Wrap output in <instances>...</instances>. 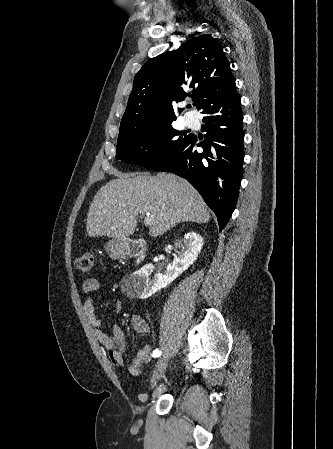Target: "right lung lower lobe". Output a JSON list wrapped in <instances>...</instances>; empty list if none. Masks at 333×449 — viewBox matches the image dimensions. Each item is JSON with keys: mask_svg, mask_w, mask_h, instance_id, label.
Instances as JSON below:
<instances>
[{"mask_svg": "<svg viewBox=\"0 0 333 449\" xmlns=\"http://www.w3.org/2000/svg\"><path fill=\"white\" fill-rule=\"evenodd\" d=\"M205 140L189 139L156 171L173 172L188 180L217 215L220 231L229 221L242 178L243 115L237 92L222 97L202 111ZM202 147L203 152L196 148Z\"/></svg>", "mask_w": 333, "mask_h": 449, "instance_id": "1", "label": "right lung lower lobe"}]
</instances>
